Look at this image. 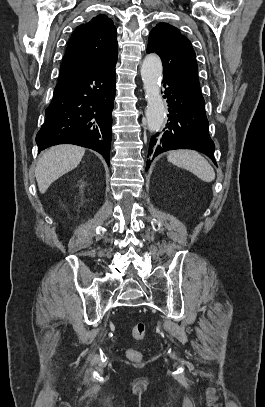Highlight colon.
<instances>
[{"mask_svg": "<svg viewBox=\"0 0 265 407\" xmlns=\"http://www.w3.org/2000/svg\"><path fill=\"white\" fill-rule=\"evenodd\" d=\"M146 332H147V326L144 322H137L131 328V335H132L133 339H135L136 341H142L146 336ZM126 355H127L128 359H130L132 361L141 360L142 350H141L140 345L138 344L134 347L129 348L126 351Z\"/></svg>", "mask_w": 265, "mask_h": 407, "instance_id": "colon-1", "label": "colon"}]
</instances>
